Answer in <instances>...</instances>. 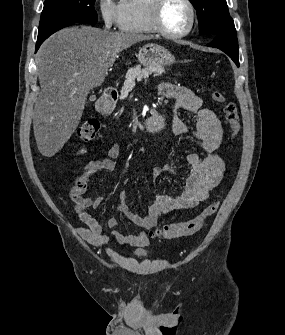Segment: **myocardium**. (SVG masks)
I'll return each instance as SVG.
<instances>
[{
  "label": "myocardium",
  "instance_id": "f54148a6",
  "mask_svg": "<svg viewBox=\"0 0 285 335\" xmlns=\"http://www.w3.org/2000/svg\"><path fill=\"white\" fill-rule=\"evenodd\" d=\"M153 2H154L153 23L156 32L167 38H180L191 31L195 22V13L190 1H178L184 4L188 8L190 18L188 24L184 28L177 31H172L168 29L163 19L165 7L167 6L168 3L172 1H153Z\"/></svg>",
  "mask_w": 285,
  "mask_h": 335
}]
</instances>
